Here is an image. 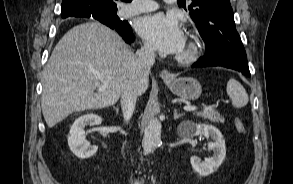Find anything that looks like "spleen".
I'll list each match as a JSON object with an SVG mask.
<instances>
[{"mask_svg": "<svg viewBox=\"0 0 293 184\" xmlns=\"http://www.w3.org/2000/svg\"><path fill=\"white\" fill-rule=\"evenodd\" d=\"M226 91L234 107L241 108L247 105L249 101L248 94L239 81L231 78L227 83Z\"/></svg>", "mask_w": 293, "mask_h": 184, "instance_id": "1", "label": "spleen"}]
</instances>
